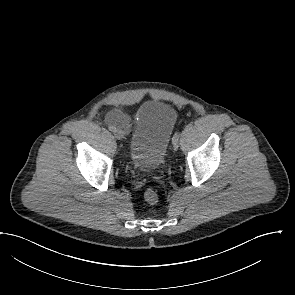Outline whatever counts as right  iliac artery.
I'll use <instances>...</instances> for the list:
<instances>
[{"label":"right iliac artery","instance_id":"obj_1","mask_svg":"<svg viewBox=\"0 0 295 295\" xmlns=\"http://www.w3.org/2000/svg\"><path fill=\"white\" fill-rule=\"evenodd\" d=\"M109 130L114 132L116 130V128L114 126H109Z\"/></svg>","mask_w":295,"mask_h":295}]
</instances>
